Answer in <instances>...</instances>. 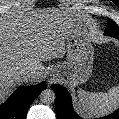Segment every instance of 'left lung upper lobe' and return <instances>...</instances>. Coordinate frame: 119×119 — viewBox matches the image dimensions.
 <instances>
[{
    "label": "left lung upper lobe",
    "mask_w": 119,
    "mask_h": 119,
    "mask_svg": "<svg viewBox=\"0 0 119 119\" xmlns=\"http://www.w3.org/2000/svg\"><path fill=\"white\" fill-rule=\"evenodd\" d=\"M105 33H109L110 35H119L118 25L113 20L108 19V26Z\"/></svg>",
    "instance_id": "5c2ea615"
}]
</instances>
